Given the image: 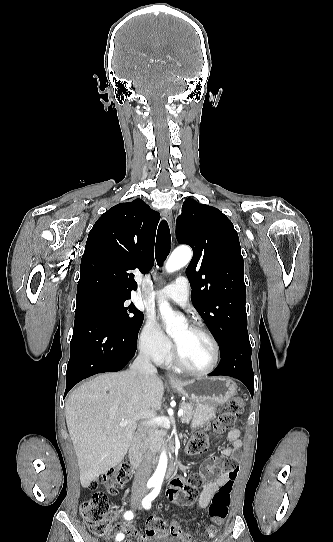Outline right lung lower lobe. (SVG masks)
<instances>
[{
	"instance_id": "right-lung-lower-lobe-1",
	"label": "right lung lower lobe",
	"mask_w": 333,
	"mask_h": 542,
	"mask_svg": "<svg viewBox=\"0 0 333 542\" xmlns=\"http://www.w3.org/2000/svg\"><path fill=\"white\" fill-rule=\"evenodd\" d=\"M137 337L118 329L99 310L77 306L65 396L74 385L87 377L123 369L135 355Z\"/></svg>"
}]
</instances>
